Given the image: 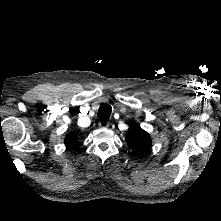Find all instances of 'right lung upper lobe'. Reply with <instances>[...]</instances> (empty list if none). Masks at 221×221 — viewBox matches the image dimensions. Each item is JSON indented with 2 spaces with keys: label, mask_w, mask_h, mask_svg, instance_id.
I'll list each match as a JSON object with an SVG mask.
<instances>
[{
  "label": "right lung upper lobe",
  "mask_w": 221,
  "mask_h": 221,
  "mask_svg": "<svg viewBox=\"0 0 221 221\" xmlns=\"http://www.w3.org/2000/svg\"><path fill=\"white\" fill-rule=\"evenodd\" d=\"M65 144L69 148H73V149L77 148L79 146L77 136L75 134L67 135L65 138Z\"/></svg>",
  "instance_id": "obj_1"
}]
</instances>
